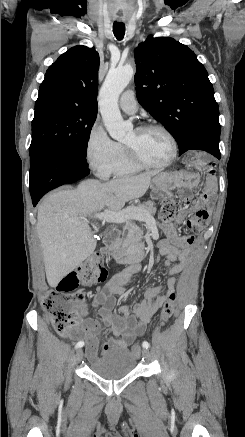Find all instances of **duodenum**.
Instances as JSON below:
<instances>
[{
	"label": "duodenum",
	"mask_w": 245,
	"mask_h": 437,
	"mask_svg": "<svg viewBox=\"0 0 245 437\" xmlns=\"http://www.w3.org/2000/svg\"><path fill=\"white\" fill-rule=\"evenodd\" d=\"M118 236V231H111L106 237V246L101 250V253L103 256L107 258H113L120 263H133L129 269L115 276L120 278L122 282H126L134 273L141 269V262L144 258V250L139 246L119 248L116 245Z\"/></svg>",
	"instance_id": "duodenum-1"
}]
</instances>
